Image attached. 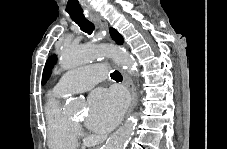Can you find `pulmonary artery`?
<instances>
[{"label":"pulmonary artery","mask_w":227,"mask_h":149,"mask_svg":"<svg viewBox=\"0 0 227 149\" xmlns=\"http://www.w3.org/2000/svg\"><path fill=\"white\" fill-rule=\"evenodd\" d=\"M105 69L101 65L82 66L65 73L54 90L60 94L85 92L104 79Z\"/></svg>","instance_id":"pulmonary-artery-1"}]
</instances>
